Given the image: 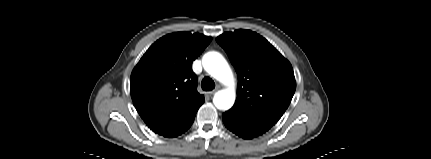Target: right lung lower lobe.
I'll use <instances>...</instances> for the list:
<instances>
[{"label":"right lung lower lobe","mask_w":431,"mask_h":159,"mask_svg":"<svg viewBox=\"0 0 431 159\" xmlns=\"http://www.w3.org/2000/svg\"><path fill=\"white\" fill-rule=\"evenodd\" d=\"M194 121V120H193ZM193 121L187 126V128L184 130V132L187 130V129H189V127L192 125V123H193ZM183 132V133H184Z\"/></svg>","instance_id":"98d812e1"}]
</instances>
